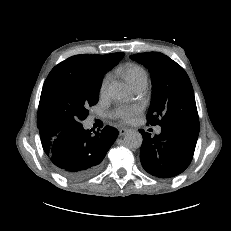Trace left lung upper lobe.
<instances>
[{"label":"left lung upper lobe","instance_id":"1","mask_svg":"<svg viewBox=\"0 0 231 231\" xmlns=\"http://www.w3.org/2000/svg\"><path fill=\"white\" fill-rule=\"evenodd\" d=\"M150 71L153 95L147 114L151 125L199 128V118L190 79L185 70L159 52L130 56Z\"/></svg>","mask_w":231,"mask_h":231}]
</instances>
